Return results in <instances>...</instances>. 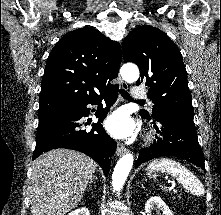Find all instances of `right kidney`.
Returning a JSON list of instances; mask_svg holds the SVG:
<instances>
[{
	"mask_svg": "<svg viewBox=\"0 0 221 215\" xmlns=\"http://www.w3.org/2000/svg\"><path fill=\"white\" fill-rule=\"evenodd\" d=\"M68 215H89V210L87 208H80V209L74 210Z\"/></svg>",
	"mask_w": 221,
	"mask_h": 215,
	"instance_id": "obj_1",
	"label": "right kidney"
}]
</instances>
